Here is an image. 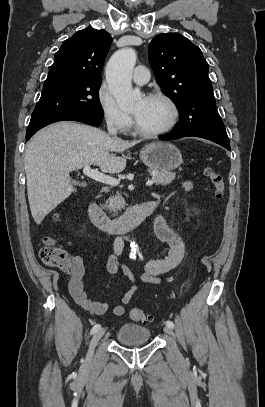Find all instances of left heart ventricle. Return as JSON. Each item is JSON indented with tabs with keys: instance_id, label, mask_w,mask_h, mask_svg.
Returning a JSON list of instances; mask_svg holds the SVG:
<instances>
[{
	"instance_id": "left-heart-ventricle-1",
	"label": "left heart ventricle",
	"mask_w": 265,
	"mask_h": 407,
	"mask_svg": "<svg viewBox=\"0 0 265 407\" xmlns=\"http://www.w3.org/2000/svg\"><path fill=\"white\" fill-rule=\"evenodd\" d=\"M139 128L155 131L166 126L171 118L169 106L161 100L139 99L131 110Z\"/></svg>"
}]
</instances>
